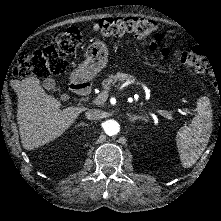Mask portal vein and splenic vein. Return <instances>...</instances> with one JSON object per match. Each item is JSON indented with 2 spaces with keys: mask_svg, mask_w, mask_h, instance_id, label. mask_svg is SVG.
<instances>
[{
  "mask_svg": "<svg viewBox=\"0 0 221 221\" xmlns=\"http://www.w3.org/2000/svg\"><path fill=\"white\" fill-rule=\"evenodd\" d=\"M109 90H104V91H102L101 92V94H100V96H98V98L96 99V98H93V99H91V104H93V105H96V104H100V103H102L103 101H105V99L108 97V95H109ZM157 113L158 114H160L161 116H163V117H168V118H170L172 115H171V113L170 112H168V111H164V110H158L157 111Z\"/></svg>",
  "mask_w": 221,
  "mask_h": 221,
  "instance_id": "1",
  "label": "portal vein and splenic vein"
}]
</instances>
